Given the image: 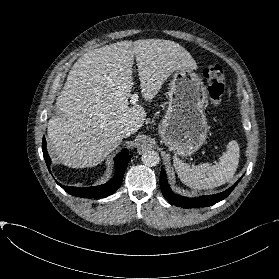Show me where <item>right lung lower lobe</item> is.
<instances>
[{"instance_id":"1","label":"right lung lower lobe","mask_w":279,"mask_h":279,"mask_svg":"<svg viewBox=\"0 0 279 279\" xmlns=\"http://www.w3.org/2000/svg\"><path fill=\"white\" fill-rule=\"evenodd\" d=\"M42 151L43 156L46 162V165L48 169L50 170V163L51 159L47 153L46 149V140L43 137L42 140ZM132 155H128V153H120L115 157V164H116V173L114 178L109 180L107 183L95 187H69V186H63L60 183L57 184L60 185L67 193L82 197V198H104L106 196H109L116 192V190L120 187L123 179L124 172L126 170L127 164L129 160L131 159Z\"/></svg>"}]
</instances>
